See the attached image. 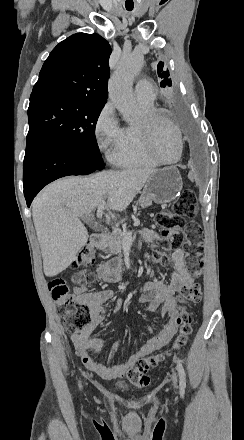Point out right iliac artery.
Returning <instances> with one entry per match:
<instances>
[{"mask_svg":"<svg viewBox=\"0 0 244 440\" xmlns=\"http://www.w3.org/2000/svg\"><path fill=\"white\" fill-rule=\"evenodd\" d=\"M79 388H81V384H79Z\"/></svg>","mask_w":244,"mask_h":440,"instance_id":"obj_1","label":"right iliac artery"}]
</instances>
